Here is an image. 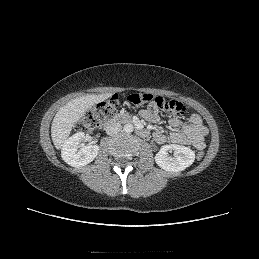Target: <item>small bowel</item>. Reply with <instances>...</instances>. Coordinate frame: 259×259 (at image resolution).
<instances>
[{
  "instance_id": "small-bowel-1",
  "label": "small bowel",
  "mask_w": 259,
  "mask_h": 259,
  "mask_svg": "<svg viewBox=\"0 0 259 259\" xmlns=\"http://www.w3.org/2000/svg\"><path fill=\"white\" fill-rule=\"evenodd\" d=\"M140 115L150 122L159 120L158 109L154 105H149L147 109L141 110ZM169 126L171 128L169 135L162 131L154 133L153 137L157 143L163 144L170 141L175 144L191 145L196 149L205 147V136L208 129L198 114H192L185 122L177 117H172L169 120Z\"/></svg>"
}]
</instances>
